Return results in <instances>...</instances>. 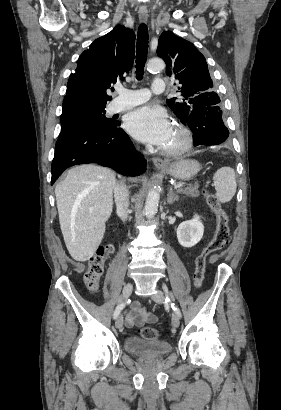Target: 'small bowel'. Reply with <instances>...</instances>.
I'll list each match as a JSON object with an SVG mask.
<instances>
[{"label":"small bowel","mask_w":281,"mask_h":410,"mask_svg":"<svg viewBox=\"0 0 281 410\" xmlns=\"http://www.w3.org/2000/svg\"><path fill=\"white\" fill-rule=\"evenodd\" d=\"M125 321L128 326H142L146 323H156L157 316L135 303L132 305L131 311L125 315Z\"/></svg>","instance_id":"small-bowel-1"}]
</instances>
